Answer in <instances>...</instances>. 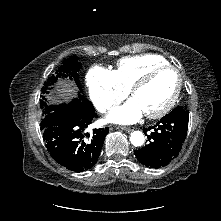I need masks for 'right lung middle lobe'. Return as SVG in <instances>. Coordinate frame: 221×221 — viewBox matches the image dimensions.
Here are the masks:
<instances>
[{
  "label": "right lung middle lobe",
  "instance_id": "obj_1",
  "mask_svg": "<svg viewBox=\"0 0 221 221\" xmlns=\"http://www.w3.org/2000/svg\"><path fill=\"white\" fill-rule=\"evenodd\" d=\"M78 59L79 58L75 55L71 56L68 59H65L63 61V64L56 71V73L47 79V81L44 84V87L42 88V92L48 93V91H47L48 86L56 83L58 78H69V80H74L75 83L80 88L78 72L80 70L81 63L78 61ZM80 91H81V89H80ZM78 96H79L78 98L73 99L71 101V103L68 105L62 104V105H50V106L47 105L46 98L42 97L43 100L40 101L41 109H43L42 110V119L44 118V116L46 114H49L54 111H58V110L63 109L67 106H83L86 108L93 107L92 103L90 101H88L87 99H85L83 97V95L78 94Z\"/></svg>",
  "mask_w": 221,
  "mask_h": 221
}]
</instances>
